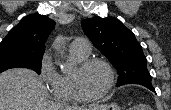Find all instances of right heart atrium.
I'll use <instances>...</instances> for the list:
<instances>
[{"mask_svg":"<svg viewBox=\"0 0 171 110\" xmlns=\"http://www.w3.org/2000/svg\"><path fill=\"white\" fill-rule=\"evenodd\" d=\"M58 72L52 64L51 56L45 53L40 62L39 77L43 84L51 90L58 79Z\"/></svg>","mask_w":171,"mask_h":110,"instance_id":"1","label":"right heart atrium"}]
</instances>
